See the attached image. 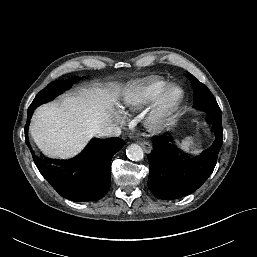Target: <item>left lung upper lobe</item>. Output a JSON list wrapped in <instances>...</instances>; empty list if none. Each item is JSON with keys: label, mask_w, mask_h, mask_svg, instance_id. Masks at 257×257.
<instances>
[{"label": "left lung upper lobe", "mask_w": 257, "mask_h": 257, "mask_svg": "<svg viewBox=\"0 0 257 257\" xmlns=\"http://www.w3.org/2000/svg\"><path fill=\"white\" fill-rule=\"evenodd\" d=\"M186 77L191 81L195 90L194 106H197L207 112H221L210 90L204 84L199 82L193 75L188 73L186 74Z\"/></svg>", "instance_id": "5c2ea615"}]
</instances>
